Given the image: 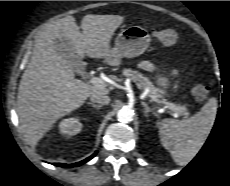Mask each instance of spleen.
<instances>
[{
	"label": "spleen",
	"mask_w": 230,
	"mask_h": 186,
	"mask_svg": "<svg viewBox=\"0 0 230 186\" xmlns=\"http://www.w3.org/2000/svg\"><path fill=\"white\" fill-rule=\"evenodd\" d=\"M217 108V99L212 97L190 118L163 119L158 123L161 144L176 164L187 165L197 155L211 132Z\"/></svg>",
	"instance_id": "spleen-1"
}]
</instances>
